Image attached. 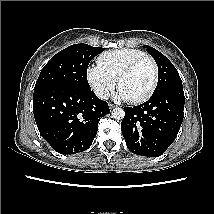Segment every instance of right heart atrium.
Masks as SVG:
<instances>
[{
    "mask_svg": "<svg viewBox=\"0 0 214 214\" xmlns=\"http://www.w3.org/2000/svg\"><path fill=\"white\" fill-rule=\"evenodd\" d=\"M86 79L93 92L101 99H106L116 86V78L100 65H90L86 70Z\"/></svg>",
    "mask_w": 214,
    "mask_h": 214,
    "instance_id": "right-heart-atrium-1",
    "label": "right heart atrium"
}]
</instances>
